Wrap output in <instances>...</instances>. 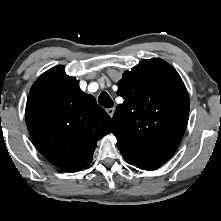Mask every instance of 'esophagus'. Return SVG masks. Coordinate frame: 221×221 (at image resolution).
<instances>
[{"mask_svg": "<svg viewBox=\"0 0 221 221\" xmlns=\"http://www.w3.org/2000/svg\"><path fill=\"white\" fill-rule=\"evenodd\" d=\"M106 112L108 113V115L110 117H112L114 115L115 109L114 108H108V109H106Z\"/></svg>", "mask_w": 221, "mask_h": 221, "instance_id": "1", "label": "esophagus"}]
</instances>
